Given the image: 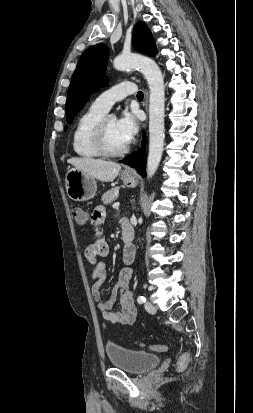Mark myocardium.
Here are the masks:
<instances>
[{
    "label": "myocardium",
    "mask_w": 253,
    "mask_h": 413,
    "mask_svg": "<svg viewBox=\"0 0 253 413\" xmlns=\"http://www.w3.org/2000/svg\"><path fill=\"white\" fill-rule=\"evenodd\" d=\"M108 117H102L92 130V142L97 151L107 157H117L125 154L128 151V146L125 145L120 149H111L106 141L105 122Z\"/></svg>",
    "instance_id": "1"
}]
</instances>
